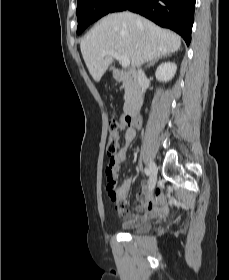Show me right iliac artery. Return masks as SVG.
<instances>
[{"label": "right iliac artery", "mask_w": 229, "mask_h": 280, "mask_svg": "<svg viewBox=\"0 0 229 280\" xmlns=\"http://www.w3.org/2000/svg\"><path fill=\"white\" fill-rule=\"evenodd\" d=\"M144 173L146 174V176H150V170L149 169L145 168Z\"/></svg>", "instance_id": "right-iliac-artery-1"}]
</instances>
